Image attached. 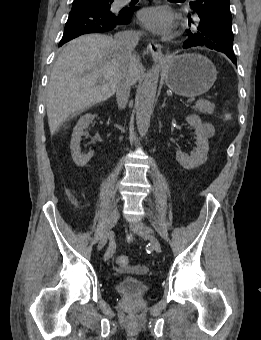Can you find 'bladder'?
<instances>
[{"label": "bladder", "mask_w": 261, "mask_h": 340, "mask_svg": "<svg viewBox=\"0 0 261 340\" xmlns=\"http://www.w3.org/2000/svg\"><path fill=\"white\" fill-rule=\"evenodd\" d=\"M115 288L123 296L137 297L146 291L147 284L143 279L134 276H123L119 279Z\"/></svg>", "instance_id": "bladder-1"}]
</instances>
